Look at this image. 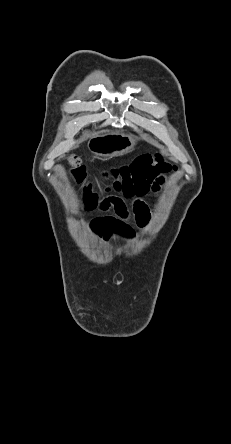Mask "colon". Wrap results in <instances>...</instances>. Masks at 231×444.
Segmentation results:
<instances>
[{
    "instance_id": "obj_1",
    "label": "colon",
    "mask_w": 231,
    "mask_h": 444,
    "mask_svg": "<svg viewBox=\"0 0 231 444\" xmlns=\"http://www.w3.org/2000/svg\"><path fill=\"white\" fill-rule=\"evenodd\" d=\"M71 174L78 183L86 178V170L77 157L70 158ZM171 165L164 162L158 155L139 156L133 163L111 170L114 177L112 188L122 192L125 197H140L150 190V183L157 180L161 174L169 172ZM140 201H135L133 208H139Z\"/></svg>"
}]
</instances>
